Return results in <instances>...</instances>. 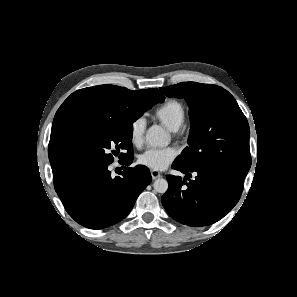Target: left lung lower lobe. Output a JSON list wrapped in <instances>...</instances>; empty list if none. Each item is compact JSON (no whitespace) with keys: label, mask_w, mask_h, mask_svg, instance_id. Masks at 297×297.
<instances>
[{"label":"left lung lower lobe","mask_w":297,"mask_h":297,"mask_svg":"<svg viewBox=\"0 0 297 297\" xmlns=\"http://www.w3.org/2000/svg\"><path fill=\"white\" fill-rule=\"evenodd\" d=\"M172 168L187 177L167 175L169 186L161 201L169 216L184 225H211L223 218L241 197L243 184L224 175L187 170L175 163ZM192 172L193 180L188 178Z\"/></svg>","instance_id":"obj_1"}]
</instances>
